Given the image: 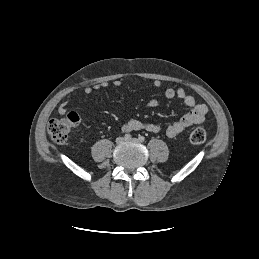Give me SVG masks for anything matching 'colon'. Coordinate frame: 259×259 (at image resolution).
Returning a JSON list of instances; mask_svg holds the SVG:
<instances>
[{
  "instance_id": "5ec220e1",
  "label": "colon",
  "mask_w": 259,
  "mask_h": 259,
  "mask_svg": "<svg viewBox=\"0 0 259 259\" xmlns=\"http://www.w3.org/2000/svg\"><path fill=\"white\" fill-rule=\"evenodd\" d=\"M80 123V116L75 111H70L66 115L52 119L48 124V134L51 139L58 143L64 144L75 127ZM189 140L192 144H202L206 140L205 130L196 128L191 131Z\"/></svg>"
}]
</instances>
